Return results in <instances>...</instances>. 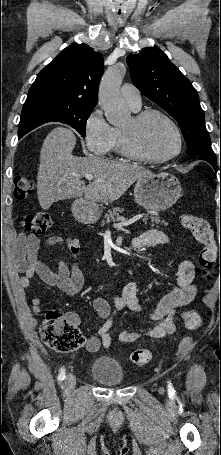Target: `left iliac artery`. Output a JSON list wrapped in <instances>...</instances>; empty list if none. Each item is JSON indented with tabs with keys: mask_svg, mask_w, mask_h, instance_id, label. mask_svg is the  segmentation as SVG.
<instances>
[{
	"mask_svg": "<svg viewBox=\"0 0 221 455\" xmlns=\"http://www.w3.org/2000/svg\"><path fill=\"white\" fill-rule=\"evenodd\" d=\"M168 388L172 389V384L171 383L168 384Z\"/></svg>",
	"mask_w": 221,
	"mask_h": 455,
	"instance_id": "obj_1",
	"label": "left iliac artery"
}]
</instances>
